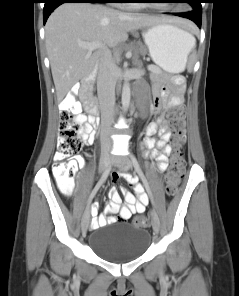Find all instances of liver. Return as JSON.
Here are the masks:
<instances>
[{"instance_id": "liver-1", "label": "liver", "mask_w": 239, "mask_h": 296, "mask_svg": "<svg viewBox=\"0 0 239 296\" xmlns=\"http://www.w3.org/2000/svg\"><path fill=\"white\" fill-rule=\"evenodd\" d=\"M159 23L184 24L166 17L126 13L91 3H65L47 20L45 43L58 100L79 81L91 75L98 57L111 56L114 48L128 39V32ZM80 42H100L104 48L92 52Z\"/></svg>"}]
</instances>
